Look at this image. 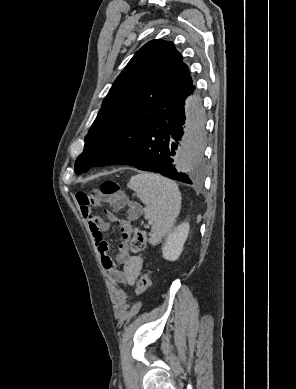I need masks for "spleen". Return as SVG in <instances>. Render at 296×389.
Returning a JSON list of instances; mask_svg holds the SVG:
<instances>
[{
	"mask_svg": "<svg viewBox=\"0 0 296 389\" xmlns=\"http://www.w3.org/2000/svg\"><path fill=\"white\" fill-rule=\"evenodd\" d=\"M127 186L145 204L144 217L152 224L149 243L159 244L180 213L182 197L177 184L155 173H141L131 177Z\"/></svg>",
	"mask_w": 296,
	"mask_h": 389,
	"instance_id": "spleen-1",
	"label": "spleen"
}]
</instances>
